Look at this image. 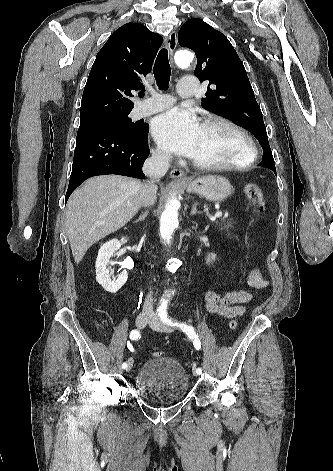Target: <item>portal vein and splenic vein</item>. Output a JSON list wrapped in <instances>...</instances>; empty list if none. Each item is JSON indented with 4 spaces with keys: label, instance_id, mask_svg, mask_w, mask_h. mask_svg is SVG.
<instances>
[{
    "label": "portal vein and splenic vein",
    "instance_id": "18ae733b",
    "mask_svg": "<svg viewBox=\"0 0 333 471\" xmlns=\"http://www.w3.org/2000/svg\"><path fill=\"white\" fill-rule=\"evenodd\" d=\"M221 216H222V212L219 211V212H216L213 217H209V219H210L211 221H213V220H215L216 218H219V217H221Z\"/></svg>",
    "mask_w": 333,
    "mask_h": 471
}]
</instances>
